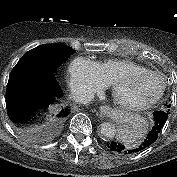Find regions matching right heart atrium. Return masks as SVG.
<instances>
[{
    "label": "right heart atrium",
    "mask_w": 177,
    "mask_h": 177,
    "mask_svg": "<svg viewBox=\"0 0 177 177\" xmlns=\"http://www.w3.org/2000/svg\"><path fill=\"white\" fill-rule=\"evenodd\" d=\"M69 83L74 92L86 95L100 92L106 86L94 62L84 57L71 61Z\"/></svg>",
    "instance_id": "1"
}]
</instances>
